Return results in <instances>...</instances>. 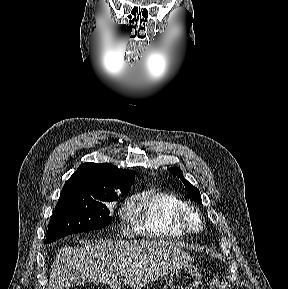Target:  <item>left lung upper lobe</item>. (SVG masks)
<instances>
[{
    "label": "left lung upper lobe",
    "instance_id": "obj_1",
    "mask_svg": "<svg viewBox=\"0 0 288 289\" xmlns=\"http://www.w3.org/2000/svg\"><path fill=\"white\" fill-rule=\"evenodd\" d=\"M168 170L175 177H178V178H180L182 180V182L185 185V188H186V191L188 193V196L190 198H192L193 200H195L196 202L201 203V195H200L199 190L196 187L192 186L187 180L184 179L181 169L178 168V167H172V168H169Z\"/></svg>",
    "mask_w": 288,
    "mask_h": 289
}]
</instances>
